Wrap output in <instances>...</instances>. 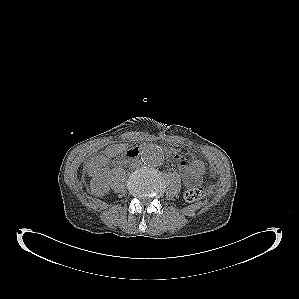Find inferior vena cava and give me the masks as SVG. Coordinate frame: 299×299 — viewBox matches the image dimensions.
Listing matches in <instances>:
<instances>
[{
  "label": "inferior vena cava",
  "mask_w": 299,
  "mask_h": 299,
  "mask_svg": "<svg viewBox=\"0 0 299 299\" xmlns=\"http://www.w3.org/2000/svg\"><path fill=\"white\" fill-rule=\"evenodd\" d=\"M141 164L140 161H135V163H132V167L136 168V167H139Z\"/></svg>",
  "instance_id": "inferior-vena-cava-1"
}]
</instances>
